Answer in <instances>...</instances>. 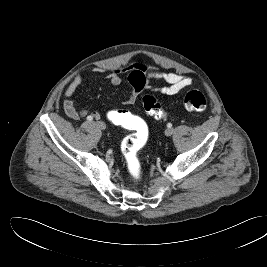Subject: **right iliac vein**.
I'll list each match as a JSON object with an SVG mask.
<instances>
[{
	"instance_id": "right-iliac-vein-1",
	"label": "right iliac vein",
	"mask_w": 267,
	"mask_h": 267,
	"mask_svg": "<svg viewBox=\"0 0 267 267\" xmlns=\"http://www.w3.org/2000/svg\"><path fill=\"white\" fill-rule=\"evenodd\" d=\"M97 126H98L101 130H105V128H106L105 123L102 122V121H98V122H97Z\"/></svg>"
}]
</instances>
